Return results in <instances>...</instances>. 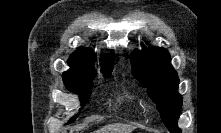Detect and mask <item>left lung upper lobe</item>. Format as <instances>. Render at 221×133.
<instances>
[{
  "mask_svg": "<svg viewBox=\"0 0 221 133\" xmlns=\"http://www.w3.org/2000/svg\"><path fill=\"white\" fill-rule=\"evenodd\" d=\"M134 77L156 103L161 118L171 133H180L177 119L182 106L179 79L171 65L168 51L150 47L135 52L131 58Z\"/></svg>",
  "mask_w": 221,
  "mask_h": 133,
  "instance_id": "5c2ea615",
  "label": "left lung upper lobe"
}]
</instances>
